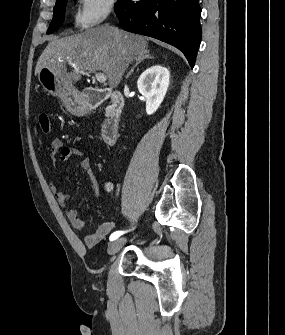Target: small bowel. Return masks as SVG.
<instances>
[{
  "label": "small bowel",
  "mask_w": 285,
  "mask_h": 335,
  "mask_svg": "<svg viewBox=\"0 0 285 335\" xmlns=\"http://www.w3.org/2000/svg\"><path fill=\"white\" fill-rule=\"evenodd\" d=\"M50 157L54 163L57 161L68 162L73 157H80V167L82 170L88 173L91 181H92V190L90 193V201H93L98 195V184L97 178L92 168V163L90 158L87 156L85 150L72 147L65 146L63 141L56 138L51 142V153ZM51 190L62 208L65 210V214L67 219L69 220L72 227L76 230H83L86 226L85 220L80 217L77 211L68 206V195L61 190L56 184L51 185ZM116 223L115 222H105L100 224L96 230L88 234L84 237V241L87 246L92 247L101 242L103 239L109 235V233L114 229Z\"/></svg>",
  "instance_id": "obj_1"
}]
</instances>
